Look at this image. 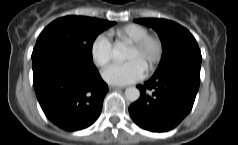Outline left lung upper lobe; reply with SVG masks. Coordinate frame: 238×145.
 Returning a JSON list of instances; mask_svg holds the SVG:
<instances>
[{
    "label": "left lung upper lobe",
    "mask_w": 238,
    "mask_h": 145,
    "mask_svg": "<svg viewBox=\"0 0 238 145\" xmlns=\"http://www.w3.org/2000/svg\"><path fill=\"white\" fill-rule=\"evenodd\" d=\"M135 22L152 27L161 39L163 53L155 73L187 63H201L202 56L198 44L186 28L165 19L143 18L136 19Z\"/></svg>",
    "instance_id": "5c2ea615"
}]
</instances>
